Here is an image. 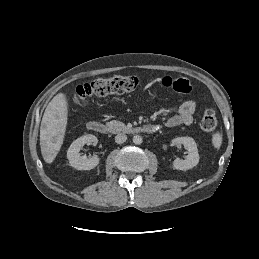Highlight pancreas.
<instances>
[{
    "label": "pancreas",
    "instance_id": "cf45deb5",
    "mask_svg": "<svg viewBox=\"0 0 259 259\" xmlns=\"http://www.w3.org/2000/svg\"><path fill=\"white\" fill-rule=\"evenodd\" d=\"M106 125H107L108 129L114 133L121 132V131H123V132L128 131V127L120 121L112 120L110 122H107Z\"/></svg>",
    "mask_w": 259,
    "mask_h": 259
}]
</instances>
